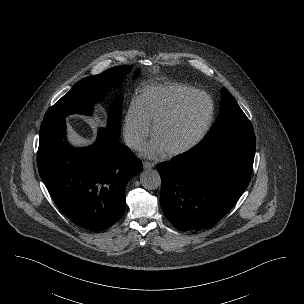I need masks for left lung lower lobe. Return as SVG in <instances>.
<instances>
[{
  "label": "left lung lower lobe",
  "mask_w": 304,
  "mask_h": 304,
  "mask_svg": "<svg viewBox=\"0 0 304 304\" xmlns=\"http://www.w3.org/2000/svg\"><path fill=\"white\" fill-rule=\"evenodd\" d=\"M255 147L254 133H233L159 164L160 202L169 222L189 231L222 219L250 182Z\"/></svg>",
  "instance_id": "left-lung-lower-lobe-1"
}]
</instances>
